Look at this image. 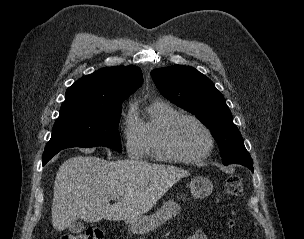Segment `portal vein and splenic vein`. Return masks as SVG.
<instances>
[{
	"label": "portal vein and splenic vein",
	"mask_w": 304,
	"mask_h": 239,
	"mask_svg": "<svg viewBox=\"0 0 304 239\" xmlns=\"http://www.w3.org/2000/svg\"><path fill=\"white\" fill-rule=\"evenodd\" d=\"M111 198H114V199H119V198H120V196H119L118 194H113V195L111 196Z\"/></svg>",
	"instance_id": "18ae733b"
}]
</instances>
